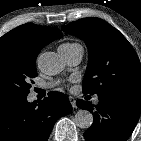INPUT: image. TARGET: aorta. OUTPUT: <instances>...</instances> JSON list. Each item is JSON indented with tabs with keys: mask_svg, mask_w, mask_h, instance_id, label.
Wrapping results in <instances>:
<instances>
[{
	"mask_svg": "<svg viewBox=\"0 0 141 141\" xmlns=\"http://www.w3.org/2000/svg\"><path fill=\"white\" fill-rule=\"evenodd\" d=\"M38 68L46 75H57L63 69V64L55 52H44L37 60ZM77 127L88 129L93 123V115L88 110H79L74 117Z\"/></svg>",
	"mask_w": 141,
	"mask_h": 141,
	"instance_id": "aorta-1",
	"label": "aorta"
}]
</instances>
